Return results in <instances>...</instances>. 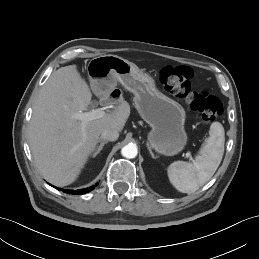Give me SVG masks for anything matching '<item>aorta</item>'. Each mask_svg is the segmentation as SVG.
I'll return each mask as SVG.
<instances>
[{
  "mask_svg": "<svg viewBox=\"0 0 259 259\" xmlns=\"http://www.w3.org/2000/svg\"><path fill=\"white\" fill-rule=\"evenodd\" d=\"M121 154L122 156H124L125 158L128 159H132L135 158L137 156V148L134 145H125L122 149H121Z\"/></svg>",
  "mask_w": 259,
  "mask_h": 259,
  "instance_id": "762f6f07",
  "label": "aorta"
}]
</instances>
